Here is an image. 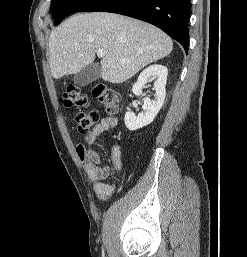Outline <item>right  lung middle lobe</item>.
<instances>
[{"instance_id": "right-lung-middle-lobe-1", "label": "right lung middle lobe", "mask_w": 247, "mask_h": 257, "mask_svg": "<svg viewBox=\"0 0 247 257\" xmlns=\"http://www.w3.org/2000/svg\"><path fill=\"white\" fill-rule=\"evenodd\" d=\"M92 0H52L51 13L57 26L67 15L80 10Z\"/></svg>"}]
</instances>
